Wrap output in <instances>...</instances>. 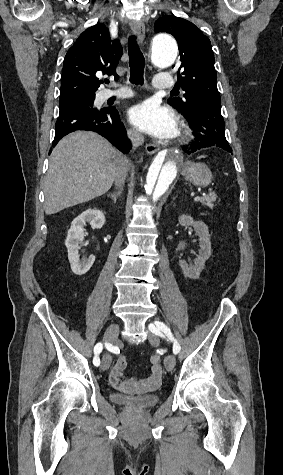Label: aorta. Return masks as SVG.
Returning <instances> with one entry per match:
<instances>
[{"label": "aorta", "mask_w": 283, "mask_h": 475, "mask_svg": "<svg viewBox=\"0 0 283 475\" xmlns=\"http://www.w3.org/2000/svg\"><path fill=\"white\" fill-rule=\"evenodd\" d=\"M154 61L160 68L171 66L177 57L178 46L173 37L158 34L152 40ZM183 164V153L176 148L160 151L152 161L142 191L143 218L156 213L169 192Z\"/></svg>", "instance_id": "762f6f07"}]
</instances>
